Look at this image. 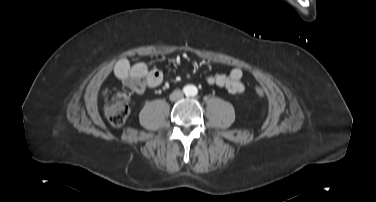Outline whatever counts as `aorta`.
<instances>
[{"label": "aorta", "instance_id": "762f6f07", "mask_svg": "<svg viewBox=\"0 0 376 202\" xmlns=\"http://www.w3.org/2000/svg\"><path fill=\"white\" fill-rule=\"evenodd\" d=\"M197 92H198L197 87H195L194 85H190V86H188V88H187V93H188L189 95L194 96V95L197 94Z\"/></svg>", "mask_w": 376, "mask_h": 202}]
</instances>
